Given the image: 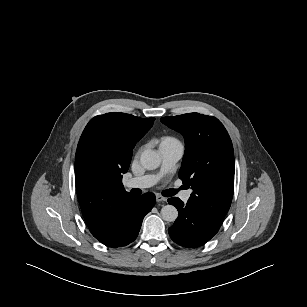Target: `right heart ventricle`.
<instances>
[{
    "mask_svg": "<svg viewBox=\"0 0 307 307\" xmlns=\"http://www.w3.org/2000/svg\"><path fill=\"white\" fill-rule=\"evenodd\" d=\"M171 141H176V139H174L172 137H165V138L162 139L161 143H163V142H171Z\"/></svg>",
    "mask_w": 307,
    "mask_h": 307,
    "instance_id": "obj_1",
    "label": "right heart ventricle"
}]
</instances>
